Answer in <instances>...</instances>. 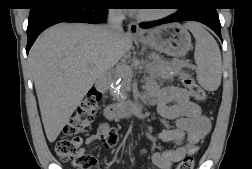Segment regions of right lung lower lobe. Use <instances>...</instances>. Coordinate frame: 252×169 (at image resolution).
Here are the masks:
<instances>
[{
    "label": "right lung lower lobe",
    "mask_w": 252,
    "mask_h": 169,
    "mask_svg": "<svg viewBox=\"0 0 252 169\" xmlns=\"http://www.w3.org/2000/svg\"><path fill=\"white\" fill-rule=\"evenodd\" d=\"M110 0H38L30 8L27 27L28 53L38 35L61 22L99 23L106 19Z\"/></svg>",
    "instance_id": "obj_1"
}]
</instances>
